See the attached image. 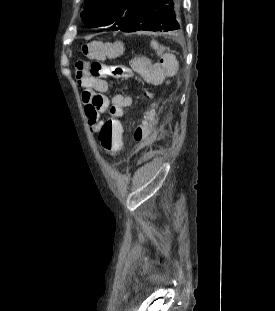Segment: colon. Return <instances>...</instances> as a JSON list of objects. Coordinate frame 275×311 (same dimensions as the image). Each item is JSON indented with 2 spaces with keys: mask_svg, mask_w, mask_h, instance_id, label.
Returning a JSON list of instances; mask_svg holds the SVG:
<instances>
[{
  "mask_svg": "<svg viewBox=\"0 0 275 311\" xmlns=\"http://www.w3.org/2000/svg\"><path fill=\"white\" fill-rule=\"evenodd\" d=\"M104 44L102 42H89L81 46L82 54L92 59L91 64L88 66L89 73L94 77L101 76H125V71L121 65L118 64H104L100 61L104 57ZM167 56H173L170 54H164ZM78 73H82L86 68L84 61L79 60L76 63ZM146 98H149L148 93H144ZM144 114V113H143ZM124 118H105L104 123L101 125L97 132V139L100 146L110 156L117 155L123 146V139L118 130H122L124 125Z\"/></svg>",
  "mask_w": 275,
  "mask_h": 311,
  "instance_id": "1",
  "label": "colon"
}]
</instances>
